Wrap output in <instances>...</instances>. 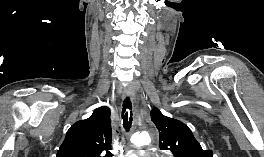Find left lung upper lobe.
Returning <instances> with one entry per match:
<instances>
[{
	"instance_id": "5c2ea615",
	"label": "left lung upper lobe",
	"mask_w": 264,
	"mask_h": 157,
	"mask_svg": "<svg viewBox=\"0 0 264 157\" xmlns=\"http://www.w3.org/2000/svg\"><path fill=\"white\" fill-rule=\"evenodd\" d=\"M151 120L159 130V146L170 150L174 157H213L211 150H203L184 123L164 116L157 108L151 111Z\"/></svg>"
}]
</instances>
